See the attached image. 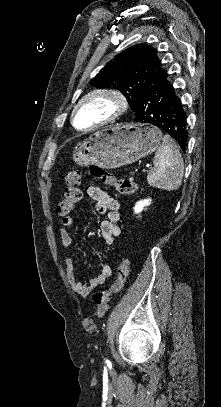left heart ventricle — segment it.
<instances>
[{
    "instance_id": "1",
    "label": "left heart ventricle",
    "mask_w": 221,
    "mask_h": 407,
    "mask_svg": "<svg viewBox=\"0 0 221 407\" xmlns=\"http://www.w3.org/2000/svg\"><path fill=\"white\" fill-rule=\"evenodd\" d=\"M111 110L112 104L109 100L93 99L79 108L76 113V124L81 128L91 126L106 118Z\"/></svg>"
}]
</instances>
